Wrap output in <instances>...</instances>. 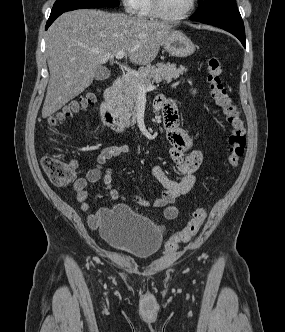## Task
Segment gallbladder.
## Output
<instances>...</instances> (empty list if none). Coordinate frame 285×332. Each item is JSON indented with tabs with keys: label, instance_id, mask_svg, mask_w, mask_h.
<instances>
[{
	"label": "gallbladder",
	"instance_id": "obj_1",
	"mask_svg": "<svg viewBox=\"0 0 285 332\" xmlns=\"http://www.w3.org/2000/svg\"><path fill=\"white\" fill-rule=\"evenodd\" d=\"M110 76V71L105 67H97L95 71V79L97 81H104Z\"/></svg>",
	"mask_w": 285,
	"mask_h": 332
}]
</instances>
